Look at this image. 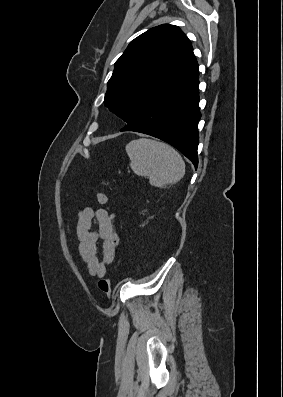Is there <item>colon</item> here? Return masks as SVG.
Instances as JSON below:
<instances>
[{"mask_svg": "<svg viewBox=\"0 0 283 397\" xmlns=\"http://www.w3.org/2000/svg\"><path fill=\"white\" fill-rule=\"evenodd\" d=\"M107 195L104 192H99L97 194V201L99 204L104 205L107 203ZM99 289L101 292L106 294L107 296L111 295L112 292V287H111V281L109 278H102L98 282Z\"/></svg>", "mask_w": 283, "mask_h": 397, "instance_id": "1", "label": "colon"}]
</instances>
